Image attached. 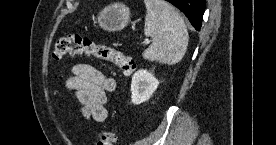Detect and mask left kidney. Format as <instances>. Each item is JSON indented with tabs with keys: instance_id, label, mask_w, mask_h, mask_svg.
<instances>
[{
	"instance_id": "obj_1",
	"label": "left kidney",
	"mask_w": 276,
	"mask_h": 145,
	"mask_svg": "<svg viewBox=\"0 0 276 145\" xmlns=\"http://www.w3.org/2000/svg\"><path fill=\"white\" fill-rule=\"evenodd\" d=\"M159 81L147 70L134 73L131 82V101L138 105L147 101L157 89Z\"/></svg>"
}]
</instances>
